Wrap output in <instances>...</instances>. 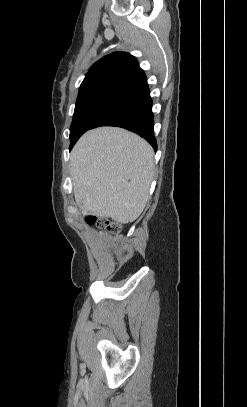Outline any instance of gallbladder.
<instances>
[{"instance_id": "gallbladder-1", "label": "gallbladder", "mask_w": 247, "mask_h": 407, "mask_svg": "<svg viewBox=\"0 0 247 407\" xmlns=\"http://www.w3.org/2000/svg\"><path fill=\"white\" fill-rule=\"evenodd\" d=\"M79 207L82 208V204H81V203L79 204Z\"/></svg>"}]
</instances>
